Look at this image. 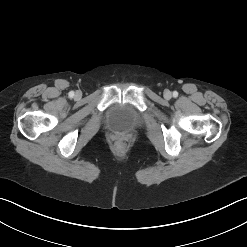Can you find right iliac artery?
Instances as JSON below:
<instances>
[{"instance_id":"right-iliac-artery-1","label":"right iliac artery","mask_w":247,"mask_h":247,"mask_svg":"<svg viewBox=\"0 0 247 247\" xmlns=\"http://www.w3.org/2000/svg\"><path fill=\"white\" fill-rule=\"evenodd\" d=\"M69 96H70V97H73V96H74V92H73V91H70V92H69Z\"/></svg>"}]
</instances>
